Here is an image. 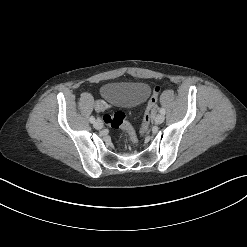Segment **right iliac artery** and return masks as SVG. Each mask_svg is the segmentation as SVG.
Wrapping results in <instances>:
<instances>
[{"instance_id":"right-iliac-artery-1","label":"right iliac artery","mask_w":247,"mask_h":247,"mask_svg":"<svg viewBox=\"0 0 247 247\" xmlns=\"http://www.w3.org/2000/svg\"><path fill=\"white\" fill-rule=\"evenodd\" d=\"M90 122H91V123H94V122H95V117H94V116H91V117H90Z\"/></svg>"}]
</instances>
